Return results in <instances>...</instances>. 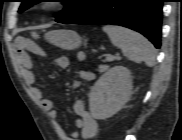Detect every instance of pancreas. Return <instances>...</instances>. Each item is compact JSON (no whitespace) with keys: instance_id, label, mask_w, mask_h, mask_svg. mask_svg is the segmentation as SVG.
<instances>
[{"instance_id":"1","label":"pancreas","mask_w":182,"mask_h":140,"mask_svg":"<svg viewBox=\"0 0 182 140\" xmlns=\"http://www.w3.org/2000/svg\"><path fill=\"white\" fill-rule=\"evenodd\" d=\"M108 68H109V66H108V65H99V67H98V71H99L100 73H102V72L107 71V70H108Z\"/></svg>"}]
</instances>
